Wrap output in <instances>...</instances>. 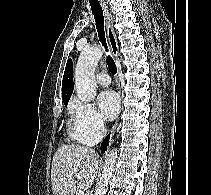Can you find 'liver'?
<instances>
[{
    "label": "liver",
    "instance_id": "1",
    "mask_svg": "<svg viewBox=\"0 0 211 195\" xmlns=\"http://www.w3.org/2000/svg\"><path fill=\"white\" fill-rule=\"evenodd\" d=\"M98 167L99 155L91 148L75 144L60 146L51 166L53 195H74L77 174L80 175L78 187L89 189L97 177Z\"/></svg>",
    "mask_w": 211,
    "mask_h": 195
}]
</instances>
